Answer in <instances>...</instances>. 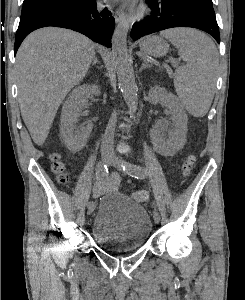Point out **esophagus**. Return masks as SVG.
<instances>
[{
	"mask_svg": "<svg viewBox=\"0 0 245 300\" xmlns=\"http://www.w3.org/2000/svg\"><path fill=\"white\" fill-rule=\"evenodd\" d=\"M114 18H115V21H116V22H120V21L123 20V18H124V11H123L122 8H119V9H117V10L115 11V13H114Z\"/></svg>",
	"mask_w": 245,
	"mask_h": 300,
	"instance_id": "esophagus-1",
	"label": "esophagus"
}]
</instances>
